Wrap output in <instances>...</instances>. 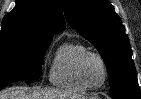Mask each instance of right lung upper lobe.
Here are the masks:
<instances>
[{
    "label": "right lung upper lobe",
    "mask_w": 141,
    "mask_h": 99,
    "mask_svg": "<svg viewBox=\"0 0 141 99\" xmlns=\"http://www.w3.org/2000/svg\"><path fill=\"white\" fill-rule=\"evenodd\" d=\"M64 28L60 0H16L15 8L3 18L0 37H29L50 42L51 36Z\"/></svg>",
    "instance_id": "obj_1"
}]
</instances>
